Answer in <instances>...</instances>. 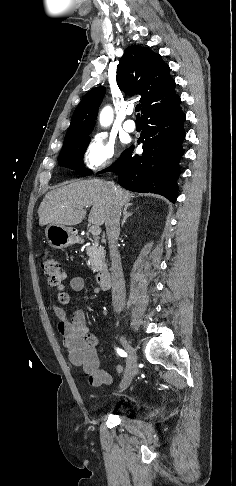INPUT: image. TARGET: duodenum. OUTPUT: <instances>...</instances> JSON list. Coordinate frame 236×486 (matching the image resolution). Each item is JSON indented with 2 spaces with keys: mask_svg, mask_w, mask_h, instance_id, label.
<instances>
[{
  "mask_svg": "<svg viewBox=\"0 0 236 486\" xmlns=\"http://www.w3.org/2000/svg\"><path fill=\"white\" fill-rule=\"evenodd\" d=\"M96 283L100 289L106 290L110 284V272L108 269H101L96 276Z\"/></svg>",
  "mask_w": 236,
  "mask_h": 486,
  "instance_id": "obj_1",
  "label": "duodenum"
}]
</instances>
